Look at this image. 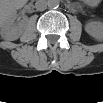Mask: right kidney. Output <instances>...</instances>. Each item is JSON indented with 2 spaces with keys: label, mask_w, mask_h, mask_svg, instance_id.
<instances>
[{
  "label": "right kidney",
  "mask_w": 103,
  "mask_h": 103,
  "mask_svg": "<svg viewBox=\"0 0 103 103\" xmlns=\"http://www.w3.org/2000/svg\"><path fill=\"white\" fill-rule=\"evenodd\" d=\"M16 18V12L11 14H6L4 11L1 12L0 33L3 39L13 41L20 36V28L15 24Z\"/></svg>",
  "instance_id": "obj_1"
}]
</instances>
